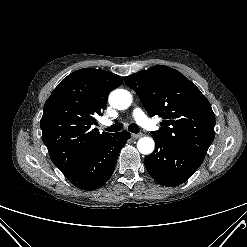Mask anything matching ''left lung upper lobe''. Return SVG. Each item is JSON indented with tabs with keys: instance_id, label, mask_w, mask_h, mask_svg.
<instances>
[{
	"instance_id": "obj_1",
	"label": "left lung upper lobe",
	"mask_w": 247,
	"mask_h": 247,
	"mask_svg": "<svg viewBox=\"0 0 247 247\" xmlns=\"http://www.w3.org/2000/svg\"><path fill=\"white\" fill-rule=\"evenodd\" d=\"M150 116L164 120L152 133L167 145L203 157L214 140L215 115L206 97L183 74L158 65L124 77Z\"/></svg>"
}]
</instances>
